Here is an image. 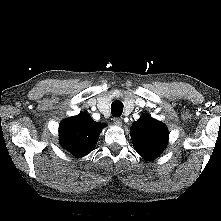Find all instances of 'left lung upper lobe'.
<instances>
[{
	"instance_id": "5c2ea615",
	"label": "left lung upper lobe",
	"mask_w": 221,
	"mask_h": 221,
	"mask_svg": "<svg viewBox=\"0 0 221 221\" xmlns=\"http://www.w3.org/2000/svg\"><path fill=\"white\" fill-rule=\"evenodd\" d=\"M168 135L167 127L163 123L146 114L131 127L133 146L146 160H154L163 152L168 143Z\"/></svg>"
}]
</instances>
